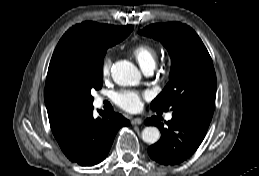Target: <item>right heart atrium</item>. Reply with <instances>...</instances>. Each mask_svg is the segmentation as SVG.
Returning <instances> with one entry per match:
<instances>
[{
	"label": "right heart atrium",
	"mask_w": 259,
	"mask_h": 176,
	"mask_svg": "<svg viewBox=\"0 0 259 176\" xmlns=\"http://www.w3.org/2000/svg\"><path fill=\"white\" fill-rule=\"evenodd\" d=\"M111 67H112V58L110 56H106L101 66V72L104 77H107L110 74Z\"/></svg>",
	"instance_id": "d8ad5b80"
}]
</instances>
